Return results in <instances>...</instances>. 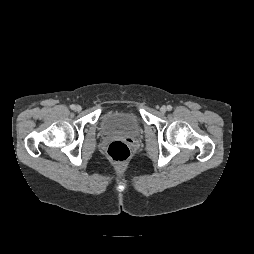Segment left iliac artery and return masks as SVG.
Instances as JSON below:
<instances>
[{
  "instance_id": "left-iliac-artery-1",
  "label": "left iliac artery",
  "mask_w": 254,
  "mask_h": 254,
  "mask_svg": "<svg viewBox=\"0 0 254 254\" xmlns=\"http://www.w3.org/2000/svg\"><path fill=\"white\" fill-rule=\"evenodd\" d=\"M167 110H168V111H171V110H172V106H171V105H168V106H167Z\"/></svg>"
}]
</instances>
